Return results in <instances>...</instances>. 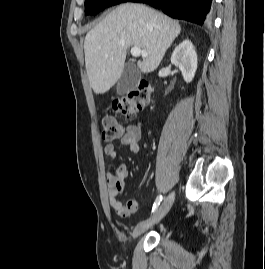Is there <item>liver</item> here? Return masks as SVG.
Segmentation results:
<instances>
[{"instance_id": "liver-1", "label": "liver", "mask_w": 265, "mask_h": 269, "mask_svg": "<svg viewBox=\"0 0 265 269\" xmlns=\"http://www.w3.org/2000/svg\"><path fill=\"white\" fill-rule=\"evenodd\" d=\"M180 32L177 21L145 5L118 6L85 37V66L93 91L103 94L120 79L130 46L148 52L138 68L154 71Z\"/></svg>"}]
</instances>
